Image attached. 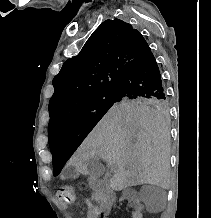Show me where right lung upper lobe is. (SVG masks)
<instances>
[{
    "mask_svg": "<svg viewBox=\"0 0 211 218\" xmlns=\"http://www.w3.org/2000/svg\"><path fill=\"white\" fill-rule=\"evenodd\" d=\"M150 53L143 36L130 24L119 19L104 21L80 53L68 59L54 77L49 126L81 103L114 91L118 82Z\"/></svg>",
    "mask_w": 211,
    "mask_h": 218,
    "instance_id": "1",
    "label": "right lung upper lobe"
}]
</instances>
